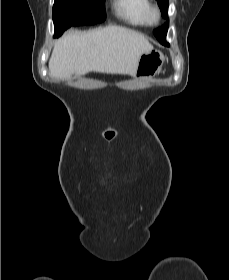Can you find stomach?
Listing matches in <instances>:
<instances>
[{"instance_id": "1", "label": "stomach", "mask_w": 229, "mask_h": 280, "mask_svg": "<svg viewBox=\"0 0 229 280\" xmlns=\"http://www.w3.org/2000/svg\"><path fill=\"white\" fill-rule=\"evenodd\" d=\"M165 57L157 49H152L141 55L134 77L138 79L152 78L160 73Z\"/></svg>"}]
</instances>
